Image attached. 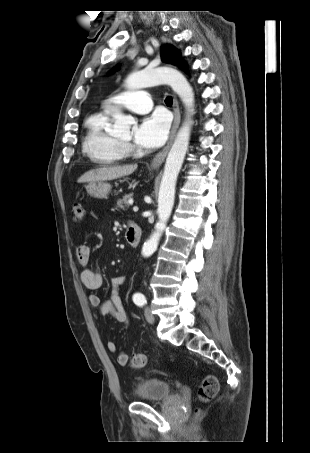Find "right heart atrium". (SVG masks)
Returning a JSON list of instances; mask_svg holds the SVG:
<instances>
[{
    "label": "right heart atrium",
    "instance_id": "right-heart-atrium-1",
    "mask_svg": "<svg viewBox=\"0 0 310 453\" xmlns=\"http://www.w3.org/2000/svg\"><path fill=\"white\" fill-rule=\"evenodd\" d=\"M126 148H128V149H129V148H130V146H126Z\"/></svg>",
    "mask_w": 310,
    "mask_h": 453
}]
</instances>
